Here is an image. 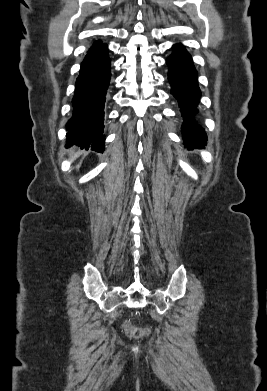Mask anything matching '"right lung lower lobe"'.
Returning <instances> with one entry per match:
<instances>
[{"instance_id":"98d812e1","label":"right lung lower lobe","mask_w":267,"mask_h":391,"mask_svg":"<svg viewBox=\"0 0 267 391\" xmlns=\"http://www.w3.org/2000/svg\"><path fill=\"white\" fill-rule=\"evenodd\" d=\"M107 45L92 48L81 64L73 97V116L67 123L69 144L97 152L104 149V104L111 66Z\"/></svg>"}]
</instances>
